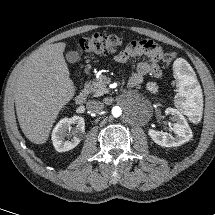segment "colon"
Here are the masks:
<instances>
[{
    "label": "colon",
    "instance_id": "colon-1",
    "mask_svg": "<svg viewBox=\"0 0 215 215\" xmlns=\"http://www.w3.org/2000/svg\"><path fill=\"white\" fill-rule=\"evenodd\" d=\"M123 43V38L119 36L95 33L90 37L80 39L77 51L90 54H108L114 52ZM177 56V52H169L164 55L163 59L166 63H171Z\"/></svg>",
    "mask_w": 215,
    "mask_h": 215
}]
</instances>
